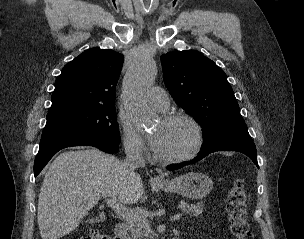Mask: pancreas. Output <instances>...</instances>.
Returning <instances> with one entry per match:
<instances>
[{"label":"pancreas","mask_w":304,"mask_h":239,"mask_svg":"<svg viewBox=\"0 0 304 239\" xmlns=\"http://www.w3.org/2000/svg\"><path fill=\"white\" fill-rule=\"evenodd\" d=\"M185 214L190 216H198L202 213L204 205L202 203L189 205L185 202L179 205ZM130 239H153V232L151 230L148 219L145 215H140L136 221H127Z\"/></svg>","instance_id":"cf45deb5"}]
</instances>
